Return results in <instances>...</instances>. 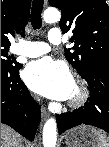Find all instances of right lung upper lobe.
Returning <instances> with one entry per match:
<instances>
[{
	"instance_id": "obj_1",
	"label": "right lung upper lobe",
	"mask_w": 109,
	"mask_h": 147,
	"mask_svg": "<svg viewBox=\"0 0 109 147\" xmlns=\"http://www.w3.org/2000/svg\"><path fill=\"white\" fill-rule=\"evenodd\" d=\"M30 6L31 0H1V48H9L8 34L24 32Z\"/></svg>"
}]
</instances>
